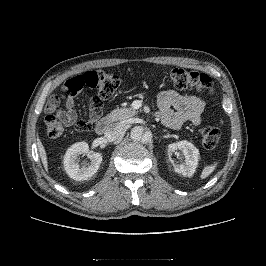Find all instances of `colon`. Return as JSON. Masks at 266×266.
<instances>
[{
	"instance_id": "obj_1",
	"label": "colon",
	"mask_w": 266,
	"mask_h": 266,
	"mask_svg": "<svg viewBox=\"0 0 266 266\" xmlns=\"http://www.w3.org/2000/svg\"><path fill=\"white\" fill-rule=\"evenodd\" d=\"M171 84L179 90L195 89L210 97L213 96V81L205 73L176 67L169 73ZM120 86V78L109 71H88L69 79L65 84L66 92H80L85 88H95L98 94L89 99V115L86 119L75 120L74 127L79 131L90 130L101 114L104 101L111 100ZM58 97L48 101L45 117L47 133L52 138L61 136L65 122L56 114ZM223 131L215 125H206L200 130L203 145L214 148L221 140Z\"/></svg>"
}]
</instances>
